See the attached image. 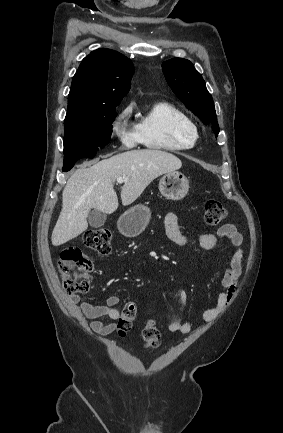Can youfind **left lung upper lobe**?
I'll use <instances>...</instances> for the list:
<instances>
[{
  "label": "left lung upper lobe",
  "instance_id": "1",
  "mask_svg": "<svg viewBox=\"0 0 283 433\" xmlns=\"http://www.w3.org/2000/svg\"><path fill=\"white\" fill-rule=\"evenodd\" d=\"M162 70L176 96L204 124H212L217 136L219 125L214 102L206 88L205 81L193 64L186 59L173 58L162 63Z\"/></svg>",
  "mask_w": 283,
  "mask_h": 433
}]
</instances>
